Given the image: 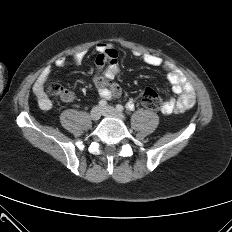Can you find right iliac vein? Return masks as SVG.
<instances>
[{
  "mask_svg": "<svg viewBox=\"0 0 232 232\" xmlns=\"http://www.w3.org/2000/svg\"><path fill=\"white\" fill-rule=\"evenodd\" d=\"M102 114V109L100 106H95L92 108L91 112H90V117L92 120L97 121L100 119Z\"/></svg>",
  "mask_w": 232,
  "mask_h": 232,
  "instance_id": "obj_1",
  "label": "right iliac vein"
}]
</instances>
